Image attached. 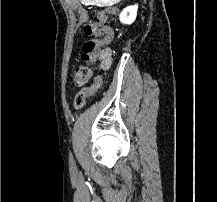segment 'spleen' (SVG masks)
Segmentation results:
<instances>
[{
	"instance_id": "3e777b00",
	"label": "spleen",
	"mask_w": 217,
	"mask_h": 202,
	"mask_svg": "<svg viewBox=\"0 0 217 202\" xmlns=\"http://www.w3.org/2000/svg\"><path fill=\"white\" fill-rule=\"evenodd\" d=\"M85 5H95V7H108V5H119V0H85Z\"/></svg>"
}]
</instances>
